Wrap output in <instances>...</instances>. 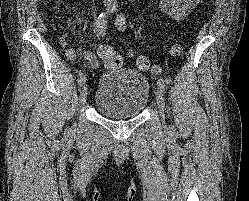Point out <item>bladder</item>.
Wrapping results in <instances>:
<instances>
[{
  "mask_svg": "<svg viewBox=\"0 0 249 201\" xmlns=\"http://www.w3.org/2000/svg\"><path fill=\"white\" fill-rule=\"evenodd\" d=\"M150 97V84L139 71L107 70L99 78L94 106L104 117L129 119L139 116Z\"/></svg>",
  "mask_w": 249,
  "mask_h": 201,
  "instance_id": "1",
  "label": "bladder"
}]
</instances>
